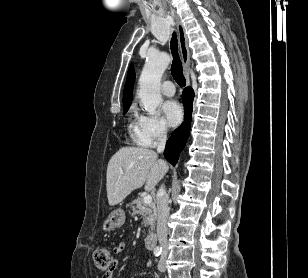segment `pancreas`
Segmentation results:
<instances>
[{
  "label": "pancreas",
  "instance_id": "obj_1",
  "mask_svg": "<svg viewBox=\"0 0 308 278\" xmlns=\"http://www.w3.org/2000/svg\"><path fill=\"white\" fill-rule=\"evenodd\" d=\"M131 205L135 208L134 213H139L143 222L144 227H149V230H153L155 226V221L157 219V210L154 202L145 204L141 198H137L132 201Z\"/></svg>",
  "mask_w": 308,
  "mask_h": 278
}]
</instances>
